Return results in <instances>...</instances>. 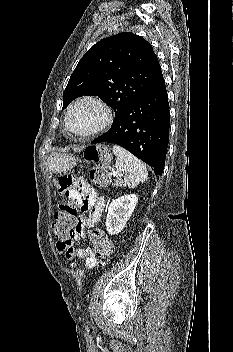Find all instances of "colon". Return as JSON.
I'll return each instance as SVG.
<instances>
[{
	"instance_id": "1",
	"label": "colon",
	"mask_w": 233,
	"mask_h": 352,
	"mask_svg": "<svg viewBox=\"0 0 233 352\" xmlns=\"http://www.w3.org/2000/svg\"><path fill=\"white\" fill-rule=\"evenodd\" d=\"M84 157L92 161L94 166L90 172L92 181L98 186H105L110 181L112 155L104 147L90 145L85 149ZM76 209L71 203L60 205L59 211L55 214L52 227L56 237L63 244L68 242L69 234L75 224ZM94 255L99 265H105L109 260L113 245L104 232L99 228H94L89 232Z\"/></svg>"
}]
</instances>
